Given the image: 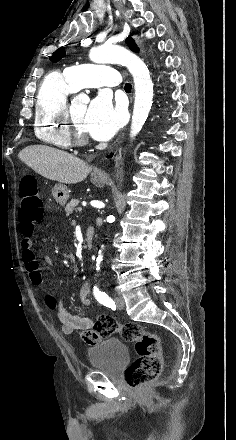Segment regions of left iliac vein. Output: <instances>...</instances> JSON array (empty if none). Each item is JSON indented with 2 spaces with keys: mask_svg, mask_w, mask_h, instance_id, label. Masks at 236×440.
<instances>
[{
  "mask_svg": "<svg viewBox=\"0 0 236 440\" xmlns=\"http://www.w3.org/2000/svg\"><path fill=\"white\" fill-rule=\"evenodd\" d=\"M115 303H116L117 308H119V309H123L125 307L124 299L121 296L115 297Z\"/></svg>",
  "mask_w": 236,
  "mask_h": 440,
  "instance_id": "obj_1",
  "label": "left iliac vein"
}]
</instances>
